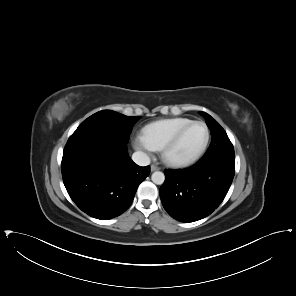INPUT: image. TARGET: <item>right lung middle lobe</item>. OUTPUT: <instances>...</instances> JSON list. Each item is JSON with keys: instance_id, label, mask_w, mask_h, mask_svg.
<instances>
[{"instance_id": "1", "label": "right lung middle lobe", "mask_w": 296, "mask_h": 296, "mask_svg": "<svg viewBox=\"0 0 296 296\" xmlns=\"http://www.w3.org/2000/svg\"><path fill=\"white\" fill-rule=\"evenodd\" d=\"M141 117L125 116L115 111L102 110L84 120L73 136L101 134L128 141L132 127Z\"/></svg>"}]
</instances>
